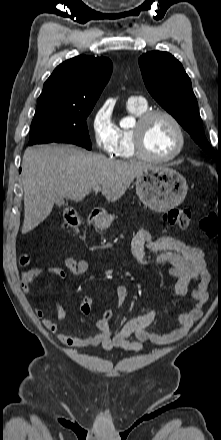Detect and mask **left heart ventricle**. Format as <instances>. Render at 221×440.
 Here are the masks:
<instances>
[{
	"label": "left heart ventricle",
	"mask_w": 221,
	"mask_h": 440,
	"mask_svg": "<svg viewBox=\"0 0 221 440\" xmlns=\"http://www.w3.org/2000/svg\"><path fill=\"white\" fill-rule=\"evenodd\" d=\"M143 141L151 155L165 157L176 149L178 135L173 124L166 117L156 116L146 124Z\"/></svg>",
	"instance_id": "b2bd125f"
}]
</instances>
